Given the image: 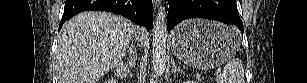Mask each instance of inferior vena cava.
<instances>
[{
    "mask_svg": "<svg viewBox=\"0 0 307 83\" xmlns=\"http://www.w3.org/2000/svg\"><path fill=\"white\" fill-rule=\"evenodd\" d=\"M129 51H130V53L134 52V46H133V44H131V45L129 46Z\"/></svg>",
    "mask_w": 307,
    "mask_h": 83,
    "instance_id": "obj_1",
    "label": "inferior vena cava"
}]
</instances>
